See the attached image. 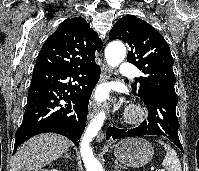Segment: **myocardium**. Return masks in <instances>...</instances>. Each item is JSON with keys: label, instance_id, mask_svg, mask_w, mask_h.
<instances>
[{"label": "myocardium", "instance_id": "obj_1", "mask_svg": "<svg viewBox=\"0 0 199 171\" xmlns=\"http://www.w3.org/2000/svg\"><path fill=\"white\" fill-rule=\"evenodd\" d=\"M146 117V111L139 105H132L126 112V119L131 124H137Z\"/></svg>", "mask_w": 199, "mask_h": 171}]
</instances>
